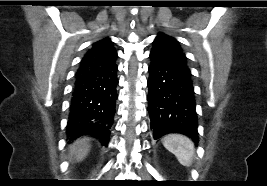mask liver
<instances>
[{"instance_id": "1", "label": "liver", "mask_w": 267, "mask_h": 186, "mask_svg": "<svg viewBox=\"0 0 267 186\" xmlns=\"http://www.w3.org/2000/svg\"><path fill=\"white\" fill-rule=\"evenodd\" d=\"M90 149V139L81 138L70 145V154L74 155L77 161H82Z\"/></svg>"}]
</instances>
